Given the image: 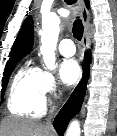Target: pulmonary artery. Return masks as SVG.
<instances>
[{"label": "pulmonary artery", "instance_id": "obj_1", "mask_svg": "<svg viewBox=\"0 0 117 136\" xmlns=\"http://www.w3.org/2000/svg\"><path fill=\"white\" fill-rule=\"evenodd\" d=\"M60 53L65 57H71L75 54V44L73 40L65 38L60 42L59 45Z\"/></svg>", "mask_w": 117, "mask_h": 136}]
</instances>
